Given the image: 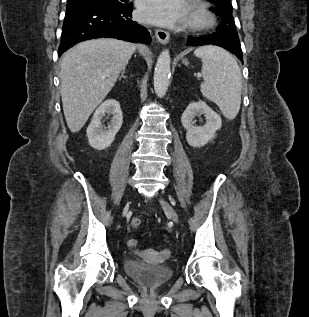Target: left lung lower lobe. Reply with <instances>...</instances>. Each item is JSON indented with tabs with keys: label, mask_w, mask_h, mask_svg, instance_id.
I'll return each instance as SVG.
<instances>
[{
	"label": "left lung lower lobe",
	"mask_w": 309,
	"mask_h": 317,
	"mask_svg": "<svg viewBox=\"0 0 309 317\" xmlns=\"http://www.w3.org/2000/svg\"><path fill=\"white\" fill-rule=\"evenodd\" d=\"M217 45L230 51L236 55L243 63V54L239 37L230 33L216 32L208 37H188L187 45L190 46H202V45Z\"/></svg>",
	"instance_id": "left-lung-lower-lobe-1"
}]
</instances>
